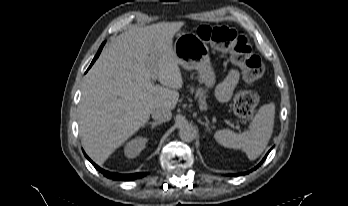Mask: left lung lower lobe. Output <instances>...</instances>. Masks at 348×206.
Here are the masks:
<instances>
[{"label": "left lung lower lobe", "instance_id": "obj_1", "mask_svg": "<svg viewBox=\"0 0 348 206\" xmlns=\"http://www.w3.org/2000/svg\"><path fill=\"white\" fill-rule=\"evenodd\" d=\"M270 152V151H269ZM269 152L266 154V156L264 157V159L254 168V170L256 168H258L263 162L264 160L266 159L267 155L269 154ZM248 172L244 173V174H247ZM239 174H231V176H238Z\"/></svg>", "mask_w": 348, "mask_h": 206}]
</instances>
